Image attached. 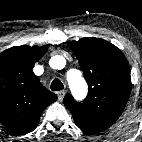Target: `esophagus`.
<instances>
[{
    "instance_id": "1",
    "label": "esophagus",
    "mask_w": 142,
    "mask_h": 142,
    "mask_svg": "<svg viewBox=\"0 0 142 142\" xmlns=\"http://www.w3.org/2000/svg\"><path fill=\"white\" fill-rule=\"evenodd\" d=\"M65 94H66V91H65V90H61V91H59V92L57 93V95H58V100H59L60 102L63 101V98H64Z\"/></svg>"
}]
</instances>
